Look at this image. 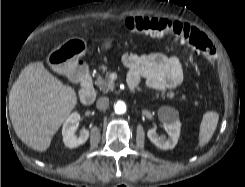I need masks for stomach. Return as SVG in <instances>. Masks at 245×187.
<instances>
[{"instance_id": "obj_1", "label": "stomach", "mask_w": 245, "mask_h": 187, "mask_svg": "<svg viewBox=\"0 0 245 187\" xmlns=\"http://www.w3.org/2000/svg\"><path fill=\"white\" fill-rule=\"evenodd\" d=\"M113 47V40H106L102 48L109 50ZM87 51V44L81 38H70L52 50L47 57L48 65L57 73L66 74L71 71Z\"/></svg>"}]
</instances>
